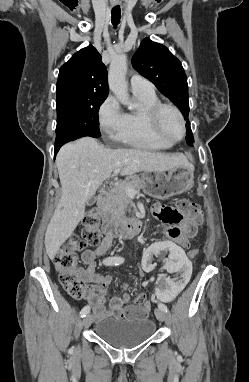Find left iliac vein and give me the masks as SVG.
Here are the masks:
<instances>
[{
	"label": "left iliac vein",
	"instance_id": "4c4485c4",
	"mask_svg": "<svg viewBox=\"0 0 249 382\" xmlns=\"http://www.w3.org/2000/svg\"><path fill=\"white\" fill-rule=\"evenodd\" d=\"M155 315L159 321H165L167 318L166 312L159 308L155 309Z\"/></svg>",
	"mask_w": 249,
	"mask_h": 382
}]
</instances>
